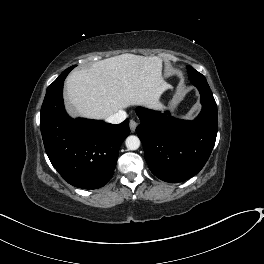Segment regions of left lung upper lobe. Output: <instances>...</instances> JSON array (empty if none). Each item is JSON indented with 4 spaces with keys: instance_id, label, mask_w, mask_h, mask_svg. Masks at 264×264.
<instances>
[{
    "instance_id": "5c2ea615",
    "label": "left lung upper lobe",
    "mask_w": 264,
    "mask_h": 264,
    "mask_svg": "<svg viewBox=\"0 0 264 264\" xmlns=\"http://www.w3.org/2000/svg\"><path fill=\"white\" fill-rule=\"evenodd\" d=\"M187 71L189 74V78L190 79H199V78H205L201 73H199L198 71H196L194 68H192L191 66L187 67Z\"/></svg>"
}]
</instances>
